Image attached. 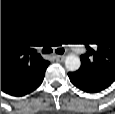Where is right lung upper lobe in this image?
I'll use <instances>...</instances> for the list:
<instances>
[{
    "mask_svg": "<svg viewBox=\"0 0 115 114\" xmlns=\"http://www.w3.org/2000/svg\"><path fill=\"white\" fill-rule=\"evenodd\" d=\"M18 30L1 28V90L9 93L32 85L48 65Z\"/></svg>",
    "mask_w": 115,
    "mask_h": 114,
    "instance_id": "right-lung-upper-lobe-1",
    "label": "right lung upper lobe"
}]
</instances>
